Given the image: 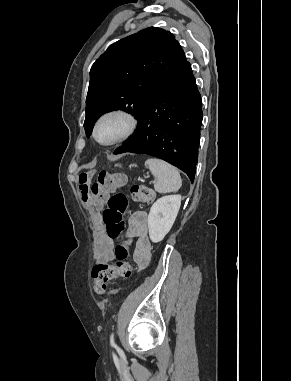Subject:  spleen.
<instances>
[{
    "label": "spleen",
    "instance_id": "1",
    "mask_svg": "<svg viewBox=\"0 0 291 381\" xmlns=\"http://www.w3.org/2000/svg\"><path fill=\"white\" fill-rule=\"evenodd\" d=\"M145 166L156 177L154 189L159 193L176 192L182 185L178 170L171 164L156 158H149Z\"/></svg>",
    "mask_w": 291,
    "mask_h": 381
}]
</instances>
